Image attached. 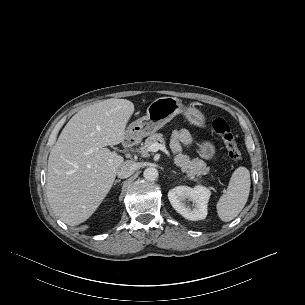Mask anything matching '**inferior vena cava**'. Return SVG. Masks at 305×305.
Returning <instances> with one entry per match:
<instances>
[{"instance_id": "obj_1", "label": "inferior vena cava", "mask_w": 305, "mask_h": 305, "mask_svg": "<svg viewBox=\"0 0 305 305\" xmlns=\"http://www.w3.org/2000/svg\"><path fill=\"white\" fill-rule=\"evenodd\" d=\"M137 168L138 166L134 161L127 160L117 169V176L121 179L128 178L137 170Z\"/></svg>"}]
</instances>
